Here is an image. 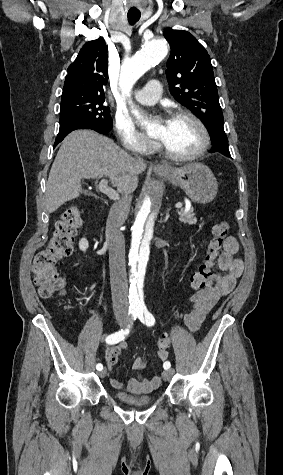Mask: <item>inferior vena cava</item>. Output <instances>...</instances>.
<instances>
[{
  "label": "inferior vena cava",
  "instance_id": "obj_1",
  "mask_svg": "<svg viewBox=\"0 0 283 475\" xmlns=\"http://www.w3.org/2000/svg\"><path fill=\"white\" fill-rule=\"evenodd\" d=\"M139 160V156H136ZM131 196L124 194L121 202L110 208L106 224V241L109 249L110 283L115 313H127L128 279L125 263V239L122 234L124 220L130 210Z\"/></svg>",
  "mask_w": 283,
  "mask_h": 475
}]
</instances>
